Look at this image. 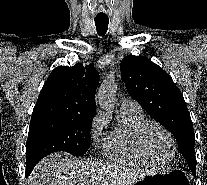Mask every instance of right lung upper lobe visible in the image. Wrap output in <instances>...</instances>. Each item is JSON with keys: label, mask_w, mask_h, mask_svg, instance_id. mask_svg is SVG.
<instances>
[{"label": "right lung upper lobe", "mask_w": 207, "mask_h": 185, "mask_svg": "<svg viewBox=\"0 0 207 185\" xmlns=\"http://www.w3.org/2000/svg\"><path fill=\"white\" fill-rule=\"evenodd\" d=\"M99 74L92 64L55 68L39 94L32 116H61L92 123Z\"/></svg>", "instance_id": "right-lung-upper-lobe-1"}]
</instances>
